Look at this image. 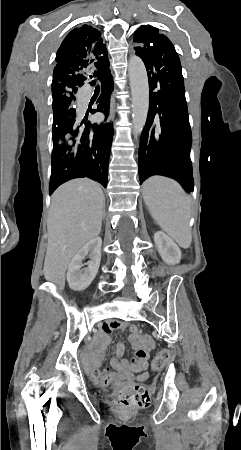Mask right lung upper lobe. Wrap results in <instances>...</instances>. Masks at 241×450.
<instances>
[{
  "label": "right lung upper lobe",
  "mask_w": 241,
  "mask_h": 450,
  "mask_svg": "<svg viewBox=\"0 0 241 450\" xmlns=\"http://www.w3.org/2000/svg\"><path fill=\"white\" fill-rule=\"evenodd\" d=\"M108 63L106 45L97 29L83 25L72 30L57 51L52 81L53 102L73 96L77 77Z\"/></svg>",
  "instance_id": "1"
}]
</instances>
